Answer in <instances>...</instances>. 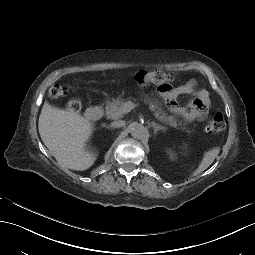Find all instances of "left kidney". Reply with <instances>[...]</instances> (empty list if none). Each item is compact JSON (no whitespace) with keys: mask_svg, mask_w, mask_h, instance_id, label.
Wrapping results in <instances>:
<instances>
[{"mask_svg":"<svg viewBox=\"0 0 255 255\" xmlns=\"http://www.w3.org/2000/svg\"><path fill=\"white\" fill-rule=\"evenodd\" d=\"M170 156H171V158H173V157H174V154L170 153Z\"/></svg>","mask_w":255,"mask_h":255,"instance_id":"obj_1","label":"left kidney"}]
</instances>
